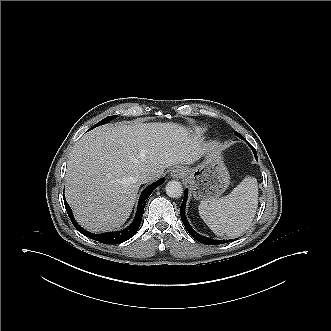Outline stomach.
Here are the masks:
<instances>
[{
    "label": "stomach",
    "instance_id": "0dacf381",
    "mask_svg": "<svg viewBox=\"0 0 331 331\" xmlns=\"http://www.w3.org/2000/svg\"><path fill=\"white\" fill-rule=\"evenodd\" d=\"M185 180L192 186L193 195L198 200L217 199L228 188L230 176L221 153L209 148L204 160L196 167H184Z\"/></svg>",
    "mask_w": 331,
    "mask_h": 331
}]
</instances>
